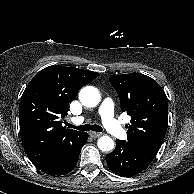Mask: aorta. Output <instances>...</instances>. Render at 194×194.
Wrapping results in <instances>:
<instances>
[{
  "label": "aorta",
  "instance_id": "obj_1",
  "mask_svg": "<svg viewBox=\"0 0 194 194\" xmlns=\"http://www.w3.org/2000/svg\"><path fill=\"white\" fill-rule=\"evenodd\" d=\"M80 102L86 107H95L100 102L101 96L95 87L86 86L79 92ZM101 151H111L114 149V141L109 136H102L97 142Z\"/></svg>",
  "mask_w": 194,
  "mask_h": 194
}]
</instances>
